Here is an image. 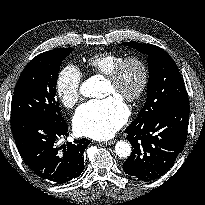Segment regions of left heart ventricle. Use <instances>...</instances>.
I'll return each instance as SVG.
<instances>
[{"instance_id":"b2bd125f","label":"left heart ventricle","mask_w":205,"mask_h":205,"mask_svg":"<svg viewBox=\"0 0 205 205\" xmlns=\"http://www.w3.org/2000/svg\"><path fill=\"white\" fill-rule=\"evenodd\" d=\"M141 80L140 67L135 63H130L126 66L122 79L117 86L106 82L105 96L111 95L123 99L125 96L134 93Z\"/></svg>"}]
</instances>
